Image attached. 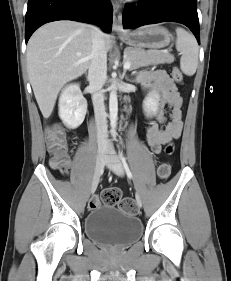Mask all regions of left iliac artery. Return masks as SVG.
I'll use <instances>...</instances> for the list:
<instances>
[{
  "label": "left iliac artery",
  "instance_id": "1",
  "mask_svg": "<svg viewBox=\"0 0 231 281\" xmlns=\"http://www.w3.org/2000/svg\"><path fill=\"white\" fill-rule=\"evenodd\" d=\"M119 153H120V158H121V161L123 163V166H124V169L126 171V174H127L128 178L132 179L133 175H132V173H131V171L129 169V166H128L127 162H126V158L124 157V155H123V153L121 151Z\"/></svg>",
  "mask_w": 231,
  "mask_h": 281
}]
</instances>
